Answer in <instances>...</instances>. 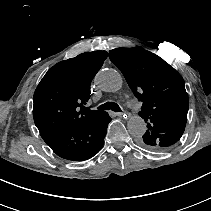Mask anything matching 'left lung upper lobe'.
<instances>
[{"label": "left lung upper lobe", "instance_id": "left-lung-upper-lobe-1", "mask_svg": "<svg viewBox=\"0 0 211 211\" xmlns=\"http://www.w3.org/2000/svg\"><path fill=\"white\" fill-rule=\"evenodd\" d=\"M110 60L123 73L142 107L147 123L141 145L155 152L167 150L185 130L189 98L181 75L156 54L141 48H116Z\"/></svg>", "mask_w": 211, "mask_h": 211}]
</instances>
